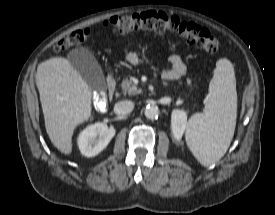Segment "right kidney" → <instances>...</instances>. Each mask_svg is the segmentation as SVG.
<instances>
[{
  "label": "right kidney",
  "instance_id": "obj_1",
  "mask_svg": "<svg viewBox=\"0 0 275 215\" xmlns=\"http://www.w3.org/2000/svg\"><path fill=\"white\" fill-rule=\"evenodd\" d=\"M115 135V129L104 123H95L84 129L78 137L80 152L86 157L98 155Z\"/></svg>",
  "mask_w": 275,
  "mask_h": 215
}]
</instances>
